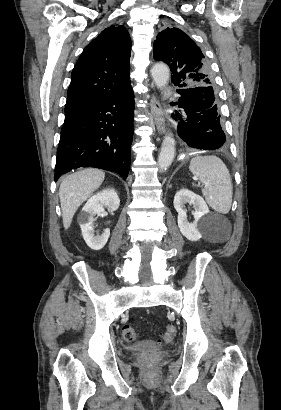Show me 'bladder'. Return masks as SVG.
I'll list each match as a JSON object with an SVG mask.
<instances>
[{
    "label": "bladder",
    "instance_id": "obj_1",
    "mask_svg": "<svg viewBox=\"0 0 281 410\" xmlns=\"http://www.w3.org/2000/svg\"><path fill=\"white\" fill-rule=\"evenodd\" d=\"M160 347V344L156 342L144 341L130 345L129 350L134 352H152L158 350Z\"/></svg>",
    "mask_w": 281,
    "mask_h": 410
}]
</instances>
